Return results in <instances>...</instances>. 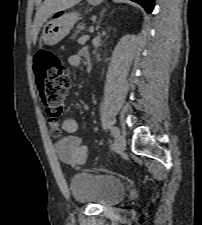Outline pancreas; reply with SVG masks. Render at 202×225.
Here are the masks:
<instances>
[{"label":"pancreas","mask_w":202,"mask_h":225,"mask_svg":"<svg viewBox=\"0 0 202 225\" xmlns=\"http://www.w3.org/2000/svg\"><path fill=\"white\" fill-rule=\"evenodd\" d=\"M77 28H78V30L72 36L73 38H76V36H77V34H79L80 30L84 29V25L83 24H78Z\"/></svg>","instance_id":"pancreas-1"}]
</instances>
